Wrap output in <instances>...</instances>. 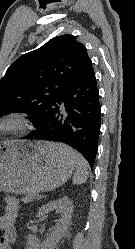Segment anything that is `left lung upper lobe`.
I'll list each match as a JSON object with an SVG mask.
<instances>
[{
	"label": "left lung upper lobe",
	"instance_id": "obj_1",
	"mask_svg": "<svg viewBox=\"0 0 135 249\" xmlns=\"http://www.w3.org/2000/svg\"><path fill=\"white\" fill-rule=\"evenodd\" d=\"M91 68L87 50L76 36L52 38L18 58L0 80V117L27 113L38 128L59 95Z\"/></svg>",
	"mask_w": 135,
	"mask_h": 249
}]
</instances>
